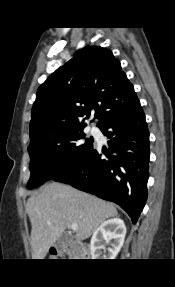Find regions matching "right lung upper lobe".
<instances>
[{"label": "right lung upper lobe", "mask_w": 175, "mask_h": 287, "mask_svg": "<svg viewBox=\"0 0 175 287\" xmlns=\"http://www.w3.org/2000/svg\"><path fill=\"white\" fill-rule=\"evenodd\" d=\"M137 101L112 52L100 46L85 47L39 87L30 122L31 143L81 127L79 118L88 119L91 110L99 125Z\"/></svg>", "instance_id": "cb5924a9"}]
</instances>
